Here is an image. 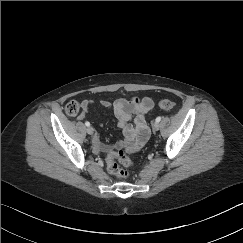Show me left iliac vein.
<instances>
[{"mask_svg":"<svg viewBox=\"0 0 243 243\" xmlns=\"http://www.w3.org/2000/svg\"><path fill=\"white\" fill-rule=\"evenodd\" d=\"M159 128H160L159 123H158V122H155V123L153 124V130H154V131H158Z\"/></svg>","mask_w":243,"mask_h":243,"instance_id":"1","label":"left iliac vein"}]
</instances>
